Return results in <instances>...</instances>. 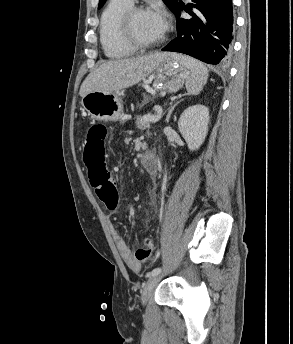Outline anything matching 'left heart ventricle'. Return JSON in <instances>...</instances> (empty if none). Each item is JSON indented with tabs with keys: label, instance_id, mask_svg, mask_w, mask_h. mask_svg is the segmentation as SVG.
I'll return each mask as SVG.
<instances>
[{
	"label": "left heart ventricle",
	"instance_id": "left-heart-ventricle-1",
	"mask_svg": "<svg viewBox=\"0 0 293 344\" xmlns=\"http://www.w3.org/2000/svg\"><path fill=\"white\" fill-rule=\"evenodd\" d=\"M132 29L135 36L142 41H156L163 35L153 22L149 11L141 12L135 16Z\"/></svg>",
	"mask_w": 293,
	"mask_h": 344
}]
</instances>
